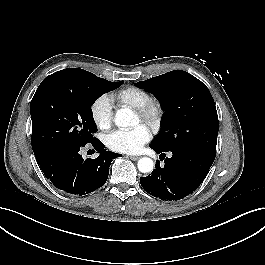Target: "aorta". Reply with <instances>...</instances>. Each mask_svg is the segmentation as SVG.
I'll return each instance as SVG.
<instances>
[{
  "instance_id": "1",
  "label": "aorta",
  "mask_w": 265,
  "mask_h": 265,
  "mask_svg": "<svg viewBox=\"0 0 265 265\" xmlns=\"http://www.w3.org/2000/svg\"><path fill=\"white\" fill-rule=\"evenodd\" d=\"M117 127L128 128L135 124V115L132 110L122 108L117 110L114 118ZM138 169L142 173H150L154 169V162L151 158L143 157L138 161Z\"/></svg>"
}]
</instances>
